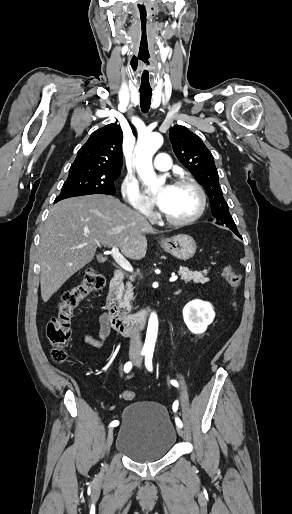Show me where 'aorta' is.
<instances>
[{"mask_svg":"<svg viewBox=\"0 0 292 514\" xmlns=\"http://www.w3.org/2000/svg\"><path fill=\"white\" fill-rule=\"evenodd\" d=\"M162 144L163 138L160 134H146V136H141V138H139L136 146L137 174L139 178H141L142 182L151 186L152 190H156V186H162V184H165V178H159V180H157L152 166V158L155 152L161 148ZM157 332L158 318L156 314H151L148 322L144 348H152V350H154Z\"/></svg>","mask_w":292,"mask_h":514,"instance_id":"obj_1","label":"aorta"}]
</instances>
